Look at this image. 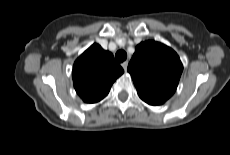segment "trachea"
I'll use <instances>...</instances> for the list:
<instances>
[{"instance_id": "trachea-1", "label": "trachea", "mask_w": 230, "mask_h": 155, "mask_svg": "<svg viewBox=\"0 0 230 155\" xmlns=\"http://www.w3.org/2000/svg\"><path fill=\"white\" fill-rule=\"evenodd\" d=\"M127 58V53L124 50H119L116 52L115 54V59L117 60V62L121 63L123 61H125Z\"/></svg>"}]
</instances>
